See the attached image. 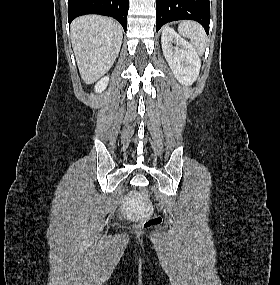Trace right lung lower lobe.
Instances as JSON below:
<instances>
[{
	"label": "right lung lower lobe",
	"mask_w": 280,
	"mask_h": 285,
	"mask_svg": "<svg viewBox=\"0 0 280 285\" xmlns=\"http://www.w3.org/2000/svg\"><path fill=\"white\" fill-rule=\"evenodd\" d=\"M129 0H68V22L84 14L111 16L127 29Z\"/></svg>",
	"instance_id": "obj_1"
}]
</instances>
